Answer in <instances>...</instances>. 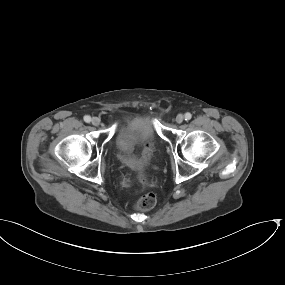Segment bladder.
Instances as JSON below:
<instances>
[{"label": "bladder", "instance_id": "1", "mask_svg": "<svg viewBox=\"0 0 285 285\" xmlns=\"http://www.w3.org/2000/svg\"><path fill=\"white\" fill-rule=\"evenodd\" d=\"M144 140L148 141L150 150L153 152L154 133L149 118L146 116L136 117L125 128L117 130L114 133V143L121 162L131 168H137L139 165L138 151Z\"/></svg>", "mask_w": 285, "mask_h": 285}]
</instances>
